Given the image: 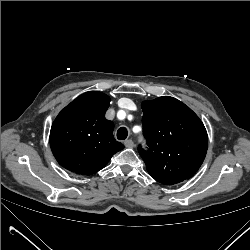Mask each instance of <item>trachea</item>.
Here are the masks:
<instances>
[{
  "label": "trachea",
  "instance_id": "trachea-1",
  "mask_svg": "<svg viewBox=\"0 0 250 250\" xmlns=\"http://www.w3.org/2000/svg\"><path fill=\"white\" fill-rule=\"evenodd\" d=\"M128 136V130L125 127H121L117 131V138L119 140H125Z\"/></svg>",
  "mask_w": 250,
  "mask_h": 250
}]
</instances>
